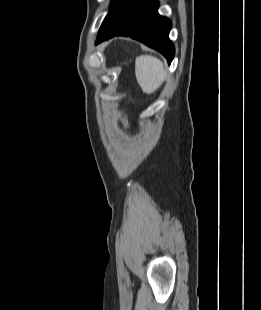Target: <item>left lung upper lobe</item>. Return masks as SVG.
<instances>
[{"mask_svg": "<svg viewBox=\"0 0 261 310\" xmlns=\"http://www.w3.org/2000/svg\"><path fill=\"white\" fill-rule=\"evenodd\" d=\"M120 3H121V0H112V8H111V10L109 11L108 15L105 17V19H104L102 25L107 24V23L113 18V16H114V14L116 13V11H117V9H118ZM102 25H101V26H102Z\"/></svg>", "mask_w": 261, "mask_h": 310, "instance_id": "1", "label": "left lung upper lobe"}]
</instances>
